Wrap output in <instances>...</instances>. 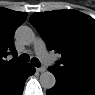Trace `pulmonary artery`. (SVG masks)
Here are the masks:
<instances>
[{"instance_id":"e3ab8cb5","label":"pulmonary artery","mask_w":95,"mask_h":95,"mask_svg":"<svg viewBox=\"0 0 95 95\" xmlns=\"http://www.w3.org/2000/svg\"><path fill=\"white\" fill-rule=\"evenodd\" d=\"M34 50H35L36 54L39 56V58L45 64H48V65L55 64V61H56L55 57L48 53V51L46 50L45 43L40 38H38L35 41Z\"/></svg>"}]
</instances>
